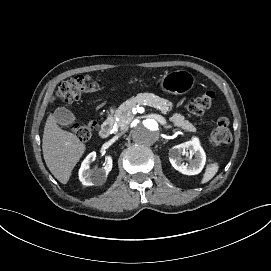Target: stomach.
<instances>
[{"label": "stomach", "instance_id": "0dacf381", "mask_svg": "<svg viewBox=\"0 0 271 271\" xmlns=\"http://www.w3.org/2000/svg\"><path fill=\"white\" fill-rule=\"evenodd\" d=\"M193 83V75L183 70H177L166 74L161 85L168 92L182 94L187 92L193 86Z\"/></svg>", "mask_w": 271, "mask_h": 271}]
</instances>
